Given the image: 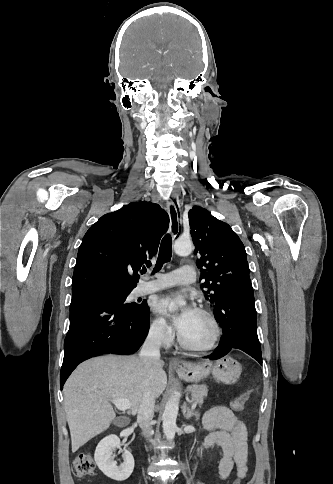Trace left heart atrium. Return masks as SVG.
<instances>
[{"mask_svg":"<svg viewBox=\"0 0 333 484\" xmlns=\"http://www.w3.org/2000/svg\"><path fill=\"white\" fill-rule=\"evenodd\" d=\"M177 301L178 296L176 294L164 296L157 301L155 309L157 312L169 316L176 329L180 332L195 310L192 307L187 306L182 310L175 312L174 307Z\"/></svg>","mask_w":333,"mask_h":484,"instance_id":"obj_1","label":"left heart atrium"}]
</instances>
